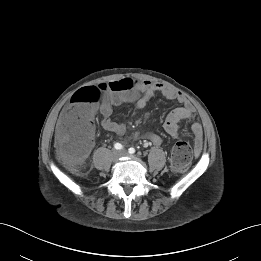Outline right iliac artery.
Here are the masks:
<instances>
[{
    "label": "right iliac artery",
    "mask_w": 261,
    "mask_h": 261,
    "mask_svg": "<svg viewBox=\"0 0 261 261\" xmlns=\"http://www.w3.org/2000/svg\"><path fill=\"white\" fill-rule=\"evenodd\" d=\"M114 147H115V149H117V150H121V149L123 148V146H122L120 143H116V144L114 145Z\"/></svg>",
    "instance_id": "82829eb1"
}]
</instances>
